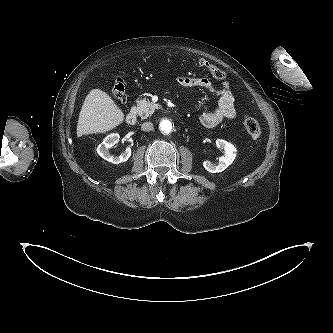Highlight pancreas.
Wrapping results in <instances>:
<instances>
[{
  "mask_svg": "<svg viewBox=\"0 0 333 333\" xmlns=\"http://www.w3.org/2000/svg\"><path fill=\"white\" fill-rule=\"evenodd\" d=\"M159 107L158 104L150 102L148 99L143 98L137 101V113L142 119L149 117L155 109Z\"/></svg>",
  "mask_w": 333,
  "mask_h": 333,
  "instance_id": "cf45deb5",
  "label": "pancreas"
}]
</instances>
